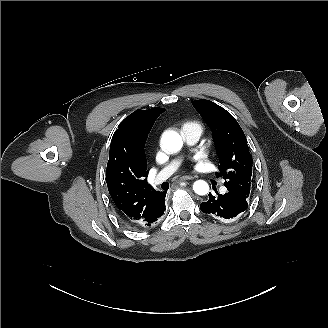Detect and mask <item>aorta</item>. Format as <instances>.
Listing matches in <instances>:
<instances>
[{"label": "aorta", "instance_id": "1", "mask_svg": "<svg viewBox=\"0 0 328 328\" xmlns=\"http://www.w3.org/2000/svg\"><path fill=\"white\" fill-rule=\"evenodd\" d=\"M161 145L167 152H177L183 146L181 136L175 131H169L162 135ZM193 190L198 195H206L209 192V185L206 181L197 180L193 184Z\"/></svg>", "mask_w": 328, "mask_h": 328}]
</instances>
